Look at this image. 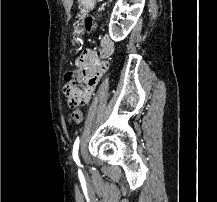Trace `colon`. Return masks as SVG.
<instances>
[{"mask_svg": "<svg viewBox=\"0 0 217 202\" xmlns=\"http://www.w3.org/2000/svg\"><path fill=\"white\" fill-rule=\"evenodd\" d=\"M83 25L87 30H91L93 27V15H86L83 19ZM97 69L93 72L97 73ZM81 74H85V72L80 73L77 71H69L66 75V84L63 87V93L67 98L69 105H74L76 102H86L89 96H81L83 95V90H78L81 87ZM75 114L72 116L74 119L73 122L80 123L82 121L81 110H74Z\"/></svg>", "mask_w": 217, "mask_h": 202, "instance_id": "5ec220e1", "label": "colon"}]
</instances>
